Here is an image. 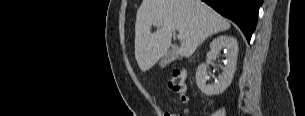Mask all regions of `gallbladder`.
<instances>
[{
    "mask_svg": "<svg viewBox=\"0 0 305 116\" xmlns=\"http://www.w3.org/2000/svg\"><path fill=\"white\" fill-rule=\"evenodd\" d=\"M177 58L176 50L170 49L161 59L160 66L164 68L166 65L170 64L172 61H174Z\"/></svg>",
    "mask_w": 305,
    "mask_h": 116,
    "instance_id": "1",
    "label": "gallbladder"
}]
</instances>
